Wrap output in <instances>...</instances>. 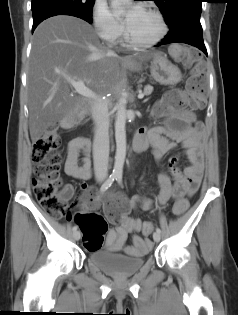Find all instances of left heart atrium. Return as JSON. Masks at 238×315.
<instances>
[{"label": "left heart atrium", "mask_w": 238, "mask_h": 315, "mask_svg": "<svg viewBox=\"0 0 238 315\" xmlns=\"http://www.w3.org/2000/svg\"><path fill=\"white\" fill-rule=\"evenodd\" d=\"M139 10V7L134 5L130 8V10L127 13L126 23L129 22L130 18Z\"/></svg>", "instance_id": "obj_1"}]
</instances>
